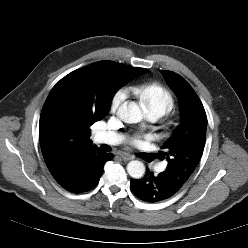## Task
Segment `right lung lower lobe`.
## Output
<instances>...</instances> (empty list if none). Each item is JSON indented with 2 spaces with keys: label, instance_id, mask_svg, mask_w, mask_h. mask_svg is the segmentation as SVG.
<instances>
[{
  "label": "right lung lower lobe",
  "instance_id": "obj_1",
  "mask_svg": "<svg viewBox=\"0 0 248 248\" xmlns=\"http://www.w3.org/2000/svg\"><path fill=\"white\" fill-rule=\"evenodd\" d=\"M113 156L112 153H103L97 147H92L81 152L53 177L69 192H87L98 184L104 164Z\"/></svg>",
  "mask_w": 248,
  "mask_h": 248
}]
</instances>
